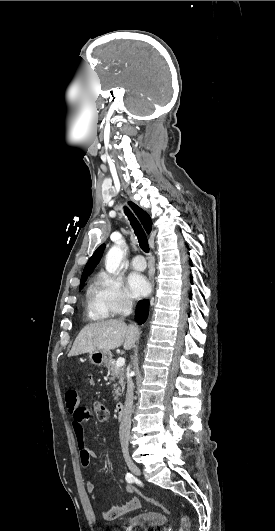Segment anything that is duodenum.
Instances as JSON below:
<instances>
[{
  "label": "duodenum",
  "mask_w": 275,
  "mask_h": 531,
  "mask_svg": "<svg viewBox=\"0 0 275 531\" xmlns=\"http://www.w3.org/2000/svg\"><path fill=\"white\" fill-rule=\"evenodd\" d=\"M116 409H117V414H118V417L120 419H122L125 415V404L124 403H119L117 406H116Z\"/></svg>",
  "instance_id": "1"
}]
</instances>
